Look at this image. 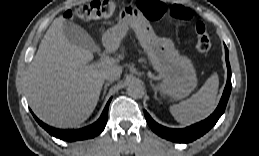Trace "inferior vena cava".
I'll list each match as a JSON object with an SVG mask.
<instances>
[{"label": "inferior vena cava", "mask_w": 259, "mask_h": 156, "mask_svg": "<svg viewBox=\"0 0 259 156\" xmlns=\"http://www.w3.org/2000/svg\"><path fill=\"white\" fill-rule=\"evenodd\" d=\"M120 74L121 73L117 70H111V71L106 72V74L104 75V78L109 82H113L120 78Z\"/></svg>", "instance_id": "1"}]
</instances>
